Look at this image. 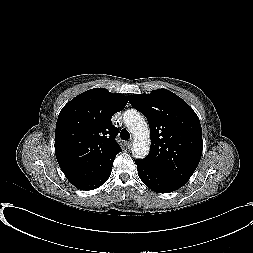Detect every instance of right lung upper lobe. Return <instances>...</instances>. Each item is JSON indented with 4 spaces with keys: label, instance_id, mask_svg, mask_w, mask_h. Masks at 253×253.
Here are the masks:
<instances>
[{
    "label": "right lung upper lobe",
    "instance_id": "cb5924a9",
    "mask_svg": "<svg viewBox=\"0 0 253 253\" xmlns=\"http://www.w3.org/2000/svg\"><path fill=\"white\" fill-rule=\"evenodd\" d=\"M123 94L107 89L85 91L60 111L55 131V154L59 166L73 184L90 181L105 173L122 151L111 123L113 114L127 104Z\"/></svg>",
    "mask_w": 253,
    "mask_h": 253
}]
</instances>
